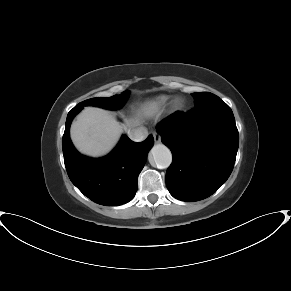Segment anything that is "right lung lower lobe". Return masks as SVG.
<instances>
[{"label": "right lung lower lobe", "instance_id": "98d812e1", "mask_svg": "<svg viewBox=\"0 0 291 291\" xmlns=\"http://www.w3.org/2000/svg\"><path fill=\"white\" fill-rule=\"evenodd\" d=\"M81 109L74 107L68 113L62 139L64 163L70 180L85 196L100 205L117 206L131 201L138 189V176L154 144L153 136L135 143L123 135L109 155L99 159L83 156L69 137L71 121Z\"/></svg>", "mask_w": 291, "mask_h": 291}]
</instances>
